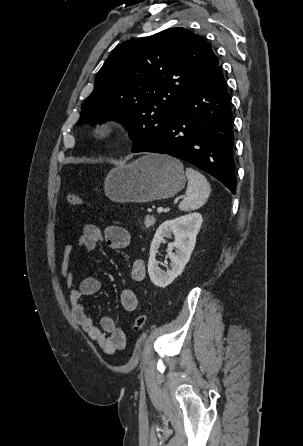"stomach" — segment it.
<instances>
[{
	"mask_svg": "<svg viewBox=\"0 0 303 446\" xmlns=\"http://www.w3.org/2000/svg\"><path fill=\"white\" fill-rule=\"evenodd\" d=\"M185 184L183 164L162 154H147L128 165L114 168L104 183L106 196L117 203L170 198Z\"/></svg>",
	"mask_w": 303,
	"mask_h": 446,
	"instance_id": "obj_1",
	"label": "stomach"
}]
</instances>
